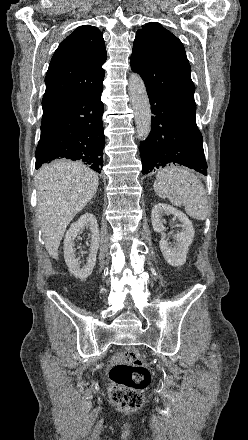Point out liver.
Instances as JSON below:
<instances>
[{
    "mask_svg": "<svg viewBox=\"0 0 248 440\" xmlns=\"http://www.w3.org/2000/svg\"><path fill=\"white\" fill-rule=\"evenodd\" d=\"M97 173L80 161L56 160L36 175L37 216L48 253L58 248L68 224L96 194Z\"/></svg>",
    "mask_w": 248,
    "mask_h": 440,
    "instance_id": "obj_1",
    "label": "liver"
}]
</instances>
